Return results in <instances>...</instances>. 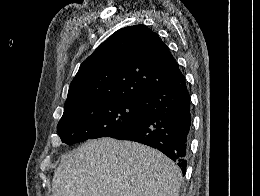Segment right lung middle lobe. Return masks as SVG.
<instances>
[{
	"label": "right lung middle lobe",
	"mask_w": 260,
	"mask_h": 196,
	"mask_svg": "<svg viewBox=\"0 0 260 196\" xmlns=\"http://www.w3.org/2000/svg\"><path fill=\"white\" fill-rule=\"evenodd\" d=\"M138 100L108 95L64 108L57 125L62 142L75 144L87 139L112 137L145 119Z\"/></svg>",
	"instance_id": "right-lung-middle-lobe-1"
}]
</instances>
